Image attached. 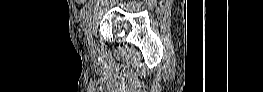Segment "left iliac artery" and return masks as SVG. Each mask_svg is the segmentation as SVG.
<instances>
[{
	"instance_id": "44dca946",
	"label": "left iliac artery",
	"mask_w": 263,
	"mask_h": 92,
	"mask_svg": "<svg viewBox=\"0 0 263 92\" xmlns=\"http://www.w3.org/2000/svg\"><path fill=\"white\" fill-rule=\"evenodd\" d=\"M94 12H91V15H88L87 16V25H86V36H87V41L89 40V36H90V32H91V29H92V22L93 19H94Z\"/></svg>"
}]
</instances>
